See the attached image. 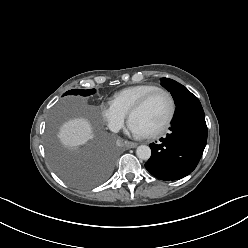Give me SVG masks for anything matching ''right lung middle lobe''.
I'll return each mask as SVG.
<instances>
[{
	"label": "right lung middle lobe",
	"instance_id": "right-lung-middle-lobe-1",
	"mask_svg": "<svg viewBox=\"0 0 248 248\" xmlns=\"http://www.w3.org/2000/svg\"><path fill=\"white\" fill-rule=\"evenodd\" d=\"M95 91V89H72L63 96H89ZM48 154L59 176L80 188H88L101 183L109 175L114 162L113 149L104 140L98 139L89 150L73 152L62 147L52 131L48 136Z\"/></svg>",
	"mask_w": 248,
	"mask_h": 248
}]
</instances>
